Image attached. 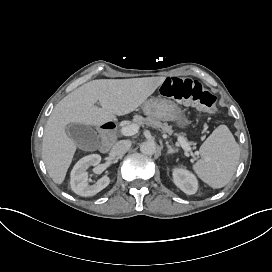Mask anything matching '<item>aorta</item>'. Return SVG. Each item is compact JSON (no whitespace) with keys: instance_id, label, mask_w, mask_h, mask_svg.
Masks as SVG:
<instances>
[{"instance_id":"1","label":"aorta","mask_w":272,"mask_h":272,"mask_svg":"<svg viewBox=\"0 0 272 272\" xmlns=\"http://www.w3.org/2000/svg\"><path fill=\"white\" fill-rule=\"evenodd\" d=\"M140 151L142 154L150 156L156 153V145L154 142H143L140 147Z\"/></svg>"}]
</instances>
